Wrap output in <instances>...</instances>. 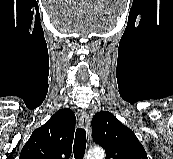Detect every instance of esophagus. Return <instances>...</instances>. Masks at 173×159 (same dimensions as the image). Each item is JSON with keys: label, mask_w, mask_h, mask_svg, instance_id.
<instances>
[{"label": "esophagus", "mask_w": 173, "mask_h": 159, "mask_svg": "<svg viewBox=\"0 0 173 159\" xmlns=\"http://www.w3.org/2000/svg\"><path fill=\"white\" fill-rule=\"evenodd\" d=\"M80 125L85 129L86 133H90V121L89 116L83 112L79 119Z\"/></svg>", "instance_id": "obj_1"}]
</instances>
